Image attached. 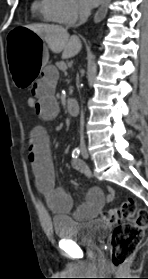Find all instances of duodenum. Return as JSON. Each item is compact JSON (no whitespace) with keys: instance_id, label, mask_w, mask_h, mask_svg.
Segmentation results:
<instances>
[{"instance_id":"1","label":"duodenum","mask_w":148,"mask_h":279,"mask_svg":"<svg viewBox=\"0 0 148 279\" xmlns=\"http://www.w3.org/2000/svg\"><path fill=\"white\" fill-rule=\"evenodd\" d=\"M67 110L70 115L77 116L79 114V102L76 99L69 98L67 100Z\"/></svg>"}]
</instances>
